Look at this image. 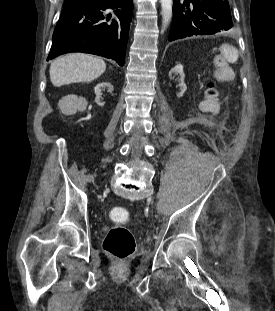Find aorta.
<instances>
[{
  "instance_id": "aorta-1",
  "label": "aorta",
  "mask_w": 275,
  "mask_h": 311,
  "mask_svg": "<svg viewBox=\"0 0 275 311\" xmlns=\"http://www.w3.org/2000/svg\"><path fill=\"white\" fill-rule=\"evenodd\" d=\"M160 2H161L162 27L163 29H165L172 19L173 0H160Z\"/></svg>"
}]
</instances>
